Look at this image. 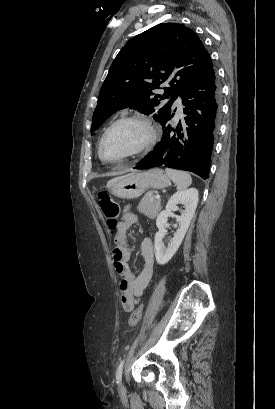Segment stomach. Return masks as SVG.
Returning a JSON list of instances; mask_svg holds the SVG:
<instances>
[{"label":"stomach","mask_w":275,"mask_h":409,"mask_svg":"<svg viewBox=\"0 0 275 409\" xmlns=\"http://www.w3.org/2000/svg\"><path fill=\"white\" fill-rule=\"evenodd\" d=\"M170 186V178L162 168H150L144 172H130L127 176L110 182L111 194L119 198H137L148 188H165Z\"/></svg>","instance_id":"obj_1"}]
</instances>
